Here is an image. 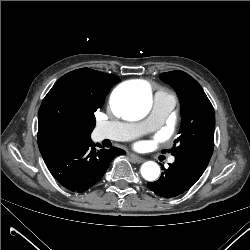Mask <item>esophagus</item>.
Here are the masks:
<instances>
[{
  "label": "esophagus",
  "instance_id": "34e87169",
  "mask_svg": "<svg viewBox=\"0 0 250 250\" xmlns=\"http://www.w3.org/2000/svg\"><path fill=\"white\" fill-rule=\"evenodd\" d=\"M130 157L137 163H142L145 161L144 158L138 156V155H135V154H130Z\"/></svg>",
  "mask_w": 250,
  "mask_h": 250
}]
</instances>
